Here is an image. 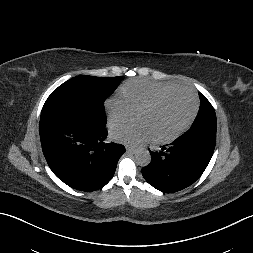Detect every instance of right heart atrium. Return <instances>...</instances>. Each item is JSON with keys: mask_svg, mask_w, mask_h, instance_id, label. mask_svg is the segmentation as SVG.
Instances as JSON below:
<instances>
[{"mask_svg": "<svg viewBox=\"0 0 253 253\" xmlns=\"http://www.w3.org/2000/svg\"><path fill=\"white\" fill-rule=\"evenodd\" d=\"M105 110L109 125L125 123L133 112L128 102L122 96L108 98L105 101Z\"/></svg>", "mask_w": 253, "mask_h": 253, "instance_id": "d8ad5b80", "label": "right heart atrium"}]
</instances>
